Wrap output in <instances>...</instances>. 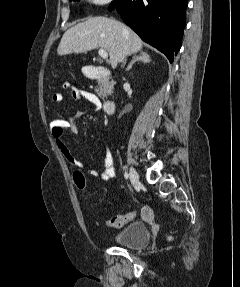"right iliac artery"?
<instances>
[{
  "mask_svg": "<svg viewBox=\"0 0 240 287\" xmlns=\"http://www.w3.org/2000/svg\"><path fill=\"white\" fill-rule=\"evenodd\" d=\"M124 178L127 180L129 178V175L127 172L124 173Z\"/></svg>",
  "mask_w": 240,
  "mask_h": 287,
  "instance_id": "1",
  "label": "right iliac artery"
}]
</instances>
